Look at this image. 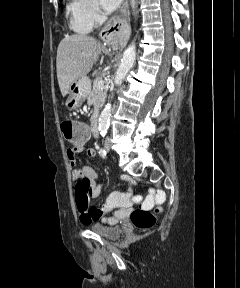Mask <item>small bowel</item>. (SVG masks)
<instances>
[{
	"label": "small bowel",
	"mask_w": 240,
	"mask_h": 288,
	"mask_svg": "<svg viewBox=\"0 0 240 288\" xmlns=\"http://www.w3.org/2000/svg\"><path fill=\"white\" fill-rule=\"evenodd\" d=\"M86 129V138L78 143H73V147L67 150L68 160L71 165L76 163V155L83 154L88 157H93L96 150L92 147H86L85 143L89 133ZM72 177L76 180L74 188L75 200L77 209L80 215V220L83 224L89 225L99 220L109 224H115L120 219L127 217L131 209V193H123L119 191L112 192L105 204L100 207L89 206V199L97 197L102 190V183L99 181L97 172L90 166H83L74 169ZM118 210L109 214L113 209Z\"/></svg>",
	"instance_id": "1"
}]
</instances>
